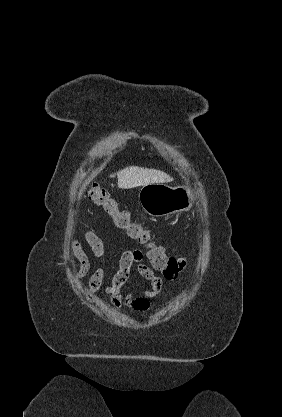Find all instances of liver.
I'll use <instances>...</instances> for the list:
<instances>
[{
  "instance_id": "6515ba94",
  "label": "liver",
  "mask_w": 282,
  "mask_h": 417,
  "mask_svg": "<svg viewBox=\"0 0 282 417\" xmlns=\"http://www.w3.org/2000/svg\"><path fill=\"white\" fill-rule=\"evenodd\" d=\"M115 176V174H110ZM119 188H134L151 182H170L173 180L170 174L156 168H143V166H126L117 172Z\"/></svg>"
}]
</instances>
